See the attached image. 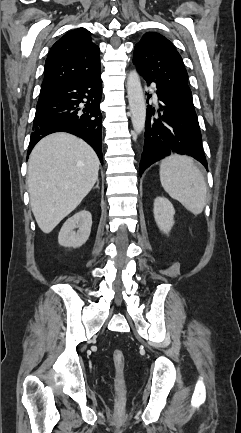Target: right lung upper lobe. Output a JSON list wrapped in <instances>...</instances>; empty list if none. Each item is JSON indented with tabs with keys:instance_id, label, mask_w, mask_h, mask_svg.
I'll list each match as a JSON object with an SVG mask.
<instances>
[{
	"instance_id": "1",
	"label": "right lung upper lobe",
	"mask_w": 241,
	"mask_h": 433,
	"mask_svg": "<svg viewBox=\"0 0 241 433\" xmlns=\"http://www.w3.org/2000/svg\"><path fill=\"white\" fill-rule=\"evenodd\" d=\"M99 54L88 30L78 28L65 34L48 54L40 95L68 81L99 73Z\"/></svg>"
}]
</instances>
